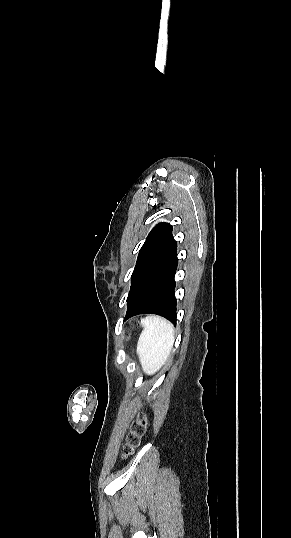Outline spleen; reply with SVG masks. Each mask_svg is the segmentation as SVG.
I'll return each instance as SVG.
<instances>
[{
	"instance_id": "1",
	"label": "spleen",
	"mask_w": 291,
	"mask_h": 538,
	"mask_svg": "<svg viewBox=\"0 0 291 538\" xmlns=\"http://www.w3.org/2000/svg\"><path fill=\"white\" fill-rule=\"evenodd\" d=\"M144 326L138 344L137 353L147 375L156 373L168 359L174 341V327L166 320L149 316L141 321Z\"/></svg>"
}]
</instances>
